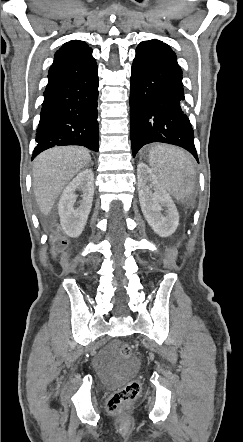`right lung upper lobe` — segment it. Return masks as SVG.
I'll return each mask as SVG.
<instances>
[{"instance_id": "1", "label": "right lung upper lobe", "mask_w": 243, "mask_h": 442, "mask_svg": "<svg viewBox=\"0 0 243 442\" xmlns=\"http://www.w3.org/2000/svg\"><path fill=\"white\" fill-rule=\"evenodd\" d=\"M91 50L89 46L80 40H72L68 43H65L56 53L54 56V62H57L59 60L74 57L81 55L85 53L86 51Z\"/></svg>"}]
</instances>
